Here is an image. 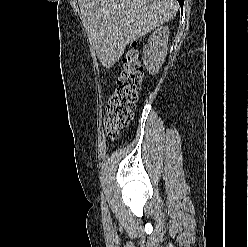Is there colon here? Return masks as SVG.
<instances>
[{"mask_svg": "<svg viewBox=\"0 0 248 247\" xmlns=\"http://www.w3.org/2000/svg\"><path fill=\"white\" fill-rule=\"evenodd\" d=\"M123 62V71L105 109L104 127L110 139L116 138L129 124L142 84L143 68L134 44Z\"/></svg>", "mask_w": 248, "mask_h": 247, "instance_id": "1", "label": "colon"}]
</instances>
